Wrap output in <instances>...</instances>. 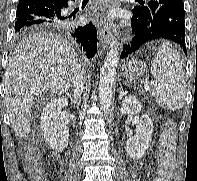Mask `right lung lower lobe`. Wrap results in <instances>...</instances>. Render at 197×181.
Wrapping results in <instances>:
<instances>
[{"label":"right lung lower lobe","mask_w":197,"mask_h":181,"mask_svg":"<svg viewBox=\"0 0 197 181\" xmlns=\"http://www.w3.org/2000/svg\"><path fill=\"white\" fill-rule=\"evenodd\" d=\"M70 0H19L15 29L23 30L30 26H45L64 30L80 44L92 58L97 49V31L92 23L79 26L64 16V9ZM75 1V0H74Z\"/></svg>","instance_id":"1"}]
</instances>
